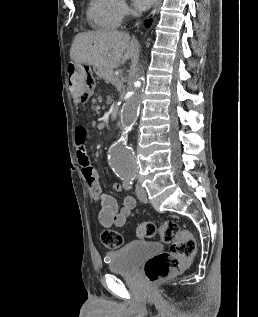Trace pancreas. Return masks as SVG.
<instances>
[{"label":"pancreas","mask_w":258,"mask_h":317,"mask_svg":"<svg viewBox=\"0 0 258 317\" xmlns=\"http://www.w3.org/2000/svg\"><path fill=\"white\" fill-rule=\"evenodd\" d=\"M109 81L112 84V86L114 87V92L115 93H120L123 86H122L121 83H119L118 78L117 77H111Z\"/></svg>","instance_id":"cf45deb5"}]
</instances>
